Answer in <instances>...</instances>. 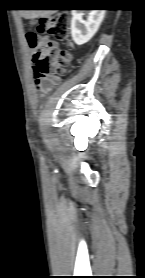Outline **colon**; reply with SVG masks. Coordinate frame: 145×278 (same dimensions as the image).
<instances>
[{
	"label": "colon",
	"mask_w": 145,
	"mask_h": 278,
	"mask_svg": "<svg viewBox=\"0 0 145 278\" xmlns=\"http://www.w3.org/2000/svg\"><path fill=\"white\" fill-rule=\"evenodd\" d=\"M70 20L66 14H56L36 23L37 32H28L26 41L34 49L33 61L36 63L37 80L49 77V83L59 82L62 72L71 61V54L61 50L57 45L39 40L37 33H45L58 39H65L68 34Z\"/></svg>",
	"instance_id": "5ec220e1"
}]
</instances>
